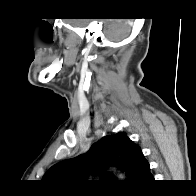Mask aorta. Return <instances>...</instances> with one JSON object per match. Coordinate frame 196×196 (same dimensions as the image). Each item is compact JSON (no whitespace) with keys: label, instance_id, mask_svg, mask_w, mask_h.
Segmentation results:
<instances>
[{"label":"aorta","instance_id":"aorta-1","mask_svg":"<svg viewBox=\"0 0 196 196\" xmlns=\"http://www.w3.org/2000/svg\"><path fill=\"white\" fill-rule=\"evenodd\" d=\"M120 178H123L124 176L122 174L119 175Z\"/></svg>","mask_w":196,"mask_h":196}]
</instances>
